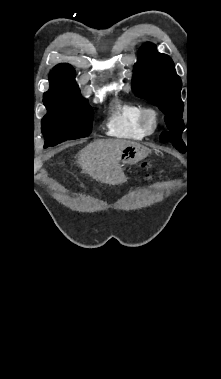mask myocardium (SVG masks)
I'll use <instances>...</instances> for the list:
<instances>
[{"instance_id": "f54148a6", "label": "myocardium", "mask_w": 221, "mask_h": 379, "mask_svg": "<svg viewBox=\"0 0 221 379\" xmlns=\"http://www.w3.org/2000/svg\"><path fill=\"white\" fill-rule=\"evenodd\" d=\"M140 122L144 132L152 134L157 130L159 125L158 113L152 108L143 109Z\"/></svg>"}]
</instances>
